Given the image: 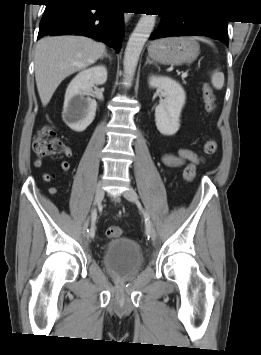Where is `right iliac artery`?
<instances>
[{"label":"right iliac artery","instance_id":"1","mask_svg":"<svg viewBox=\"0 0 261 355\" xmlns=\"http://www.w3.org/2000/svg\"><path fill=\"white\" fill-rule=\"evenodd\" d=\"M96 218H97V211L96 209L92 212V215H91V221H92V224H91V228L90 229H87V232L89 233V235L91 237H94L95 235V221H96Z\"/></svg>","mask_w":261,"mask_h":355}]
</instances>
